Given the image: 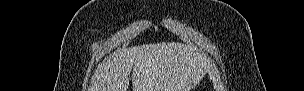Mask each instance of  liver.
<instances>
[{
    "mask_svg": "<svg viewBox=\"0 0 304 91\" xmlns=\"http://www.w3.org/2000/svg\"><path fill=\"white\" fill-rule=\"evenodd\" d=\"M133 67V91H190L207 71L196 49L175 42L122 49L98 65L90 91H127Z\"/></svg>",
    "mask_w": 304,
    "mask_h": 91,
    "instance_id": "6515ba94",
    "label": "liver"
}]
</instances>
